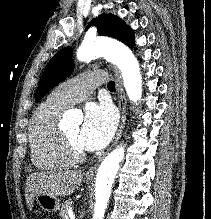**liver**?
<instances>
[{
    "mask_svg": "<svg viewBox=\"0 0 211 219\" xmlns=\"http://www.w3.org/2000/svg\"><path fill=\"white\" fill-rule=\"evenodd\" d=\"M83 173L77 170L30 174L26 181V201L31 208L36 195L69 196L80 186Z\"/></svg>",
    "mask_w": 211,
    "mask_h": 219,
    "instance_id": "1",
    "label": "liver"
}]
</instances>
